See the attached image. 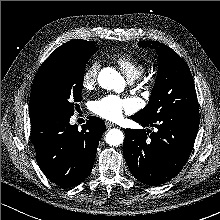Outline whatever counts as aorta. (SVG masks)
Returning a JSON list of instances; mask_svg holds the SVG:
<instances>
[{
  "instance_id": "obj_1",
  "label": "aorta",
  "mask_w": 220,
  "mask_h": 220,
  "mask_svg": "<svg viewBox=\"0 0 220 220\" xmlns=\"http://www.w3.org/2000/svg\"><path fill=\"white\" fill-rule=\"evenodd\" d=\"M99 85L107 90L124 88L125 82L121 74L113 68H104L98 75ZM106 142L110 146H119L124 141V135L119 129H111L106 134Z\"/></svg>"
}]
</instances>
